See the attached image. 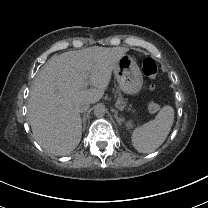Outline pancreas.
I'll return each instance as SVG.
<instances>
[{
  "mask_svg": "<svg viewBox=\"0 0 208 208\" xmlns=\"http://www.w3.org/2000/svg\"><path fill=\"white\" fill-rule=\"evenodd\" d=\"M117 92H118V94H119V97H118L117 101L120 103V105H121L122 107H125V106L127 105L126 100L121 96L119 90H117Z\"/></svg>",
  "mask_w": 208,
  "mask_h": 208,
  "instance_id": "pancreas-1",
  "label": "pancreas"
}]
</instances>
